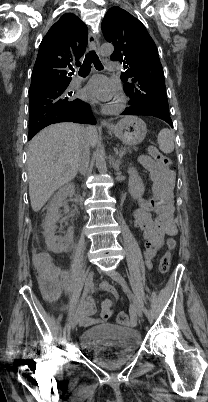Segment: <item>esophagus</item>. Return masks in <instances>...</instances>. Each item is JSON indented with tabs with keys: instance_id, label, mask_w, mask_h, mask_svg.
Wrapping results in <instances>:
<instances>
[{
	"instance_id": "esophagus-1",
	"label": "esophagus",
	"mask_w": 208,
	"mask_h": 402,
	"mask_svg": "<svg viewBox=\"0 0 208 402\" xmlns=\"http://www.w3.org/2000/svg\"><path fill=\"white\" fill-rule=\"evenodd\" d=\"M88 47L89 50H95V52L100 53V43L97 36L94 33H89L88 35ZM101 125H108V122L101 120Z\"/></svg>"
}]
</instances>
